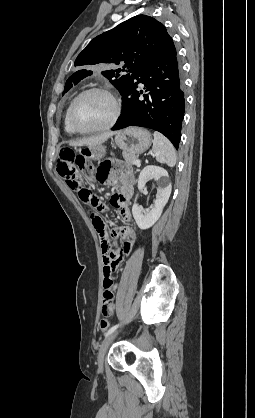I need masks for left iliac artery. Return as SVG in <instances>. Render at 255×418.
<instances>
[{
    "label": "left iliac artery",
    "mask_w": 255,
    "mask_h": 418,
    "mask_svg": "<svg viewBox=\"0 0 255 418\" xmlns=\"http://www.w3.org/2000/svg\"><path fill=\"white\" fill-rule=\"evenodd\" d=\"M119 325L120 324H116V325H114V326H112L106 333H105V337H107L108 335H110L111 333H113L118 327H119Z\"/></svg>",
    "instance_id": "left-iliac-artery-1"
}]
</instances>
